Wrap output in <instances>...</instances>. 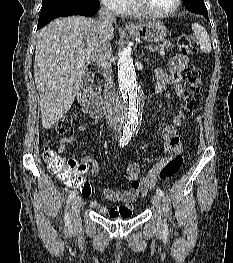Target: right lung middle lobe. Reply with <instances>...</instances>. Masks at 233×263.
Instances as JSON below:
<instances>
[{
	"instance_id": "1",
	"label": "right lung middle lobe",
	"mask_w": 233,
	"mask_h": 263,
	"mask_svg": "<svg viewBox=\"0 0 233 263\" xmlns=\"http://www.w3.org/2000/svg\"><path fill=\"white\" fill-rule=\"evenodd\" d=\"M99 4L98 0H43L38 23H46L59 16L74 13L81 2Z\"/></svg>"
}]
</instances>
